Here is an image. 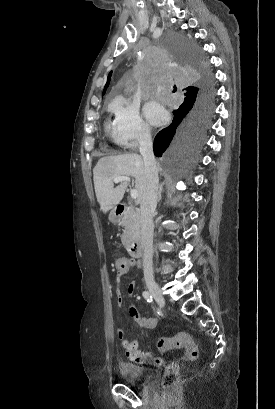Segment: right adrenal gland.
I'll return each instance as SVG.
<instances>
[{
    "label": "right adrenal gland",
    "mask_w": 275,
    "mask_h": 409,
    "mask_svg": "<svg viewBox=\"0 0 275 409\" xmlns=\"http://www.w3.org/2000/svg\"><path fill=\"white\" fill-rule=\"evenodd\" d=\"M165 182H161V184H159V190H158V202H160L162 196H161V192L163 190V186H164Z\"/></svg>",
    "instance_id": "right-adrenal-gland-1"
}]
</instances>
